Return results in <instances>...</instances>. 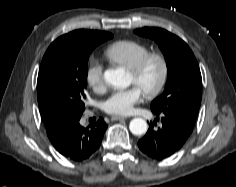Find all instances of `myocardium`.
I'll list each match as a JSON object with an SVG mask.
<instances>
[{"mask_svg": "<svg viewBox=\"0 0 236 187\" xmlns=\"http://www.w3.org/2000/svg\"><path fill=\"white\" fill-rule=\"evenodd\" d=\"M151 62H157L160 66V78L153 88L143 92L147 98L156 97L164 90L169 78V63L167 58L161 53L149 52L129 68L130 73L138 79Z\"/></svg>", "mask_w": 236, "mask_h": 187, "instance_id": "myocardium-1", "label": "myocardium"}]
</instances>
